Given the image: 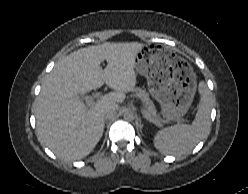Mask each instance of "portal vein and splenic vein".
I'll list each match as a JSON object with an SVG mask.
<instances>
[{
    "mask_svg": "<svg viewBox=\"0 0 248 194\" xmlns=\"http://www.w3.org/2000/svg\"><path fill=\"white\" fill-rule=\"evenodd\" d=\"M104 99H105V96H101V97L99 98L98 102H100V101H102V100H104ZM85 100H86L87 107H93V106L95 105V101H94V98H93V97L87 96V97H85ZM143 114H144V117H145L147 120H149L150 122H153V123H155V124H158V125L162 126V124H161L160 122H158L157 120H155V119L149 117V116L146 115L144 112H143Z\"/></svg>",
    "mask_w": 248,
    "mask_h": 194,
    "instance_id": "obj_1",
    "label": "portal vein and splenic vein"
}]
</instances>
